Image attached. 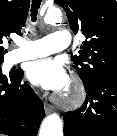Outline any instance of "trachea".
Here are the masks:
<instances>
[{"instance_id": "obj_1", "label": "trachea", "mask_w": 117, "mask_h": 136, "mask_svg": "<svg viewBox=\"0 0 117 136\" xmlns=\"http://www.w3.org/2000/svg\"><path fill=\"white\" fill-rule=\"evenodd\" d=\"M42 0H32V4H31V17H32V21L35 22L37 19V13H38V9L41 5Z\"/></svg>"}]
</instances>
